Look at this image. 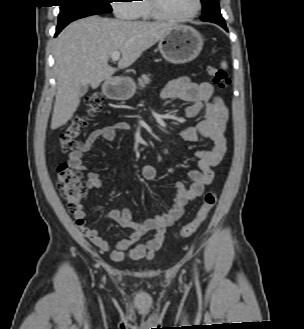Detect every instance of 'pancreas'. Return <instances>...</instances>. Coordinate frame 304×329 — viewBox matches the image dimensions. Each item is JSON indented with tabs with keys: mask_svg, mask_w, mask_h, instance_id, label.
I'll use <instances>...</instances> for the list:
<instances>
[{
	"mask_svg": "<svg viewBox=\"0 0 304 329\" xmlns=\"http://www.w3.org/2000/svg\"><path fill=\"white\" fill-rule=\"evenodd\" d=\"M150 81V75H142L141 78L138 80L140 89H143L147 84L150 83Z\"/></svg>",
	"mask_w": 304,
	"mask_h": 329,
	"instance_id": "cf45deb5",
	"label": "pancreas"
}]
</instances>
